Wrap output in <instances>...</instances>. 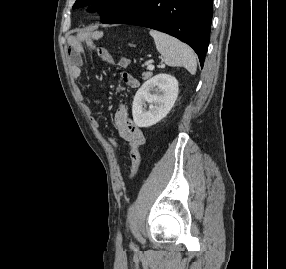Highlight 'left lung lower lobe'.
<instances>
[{"instance_id": "left-lung-lower-lobe-1", "label": "left lung lower lobe", "mask_w": 286, "mask_h": 269, "mask_svg": "<svg viewBox=\"0 0 286 269\" xmlns=\"http://www.w3.org/2000/svg\"><path fill=\"white\" fill-rule=\"evenodd\" d=\"M213 13V0H146L117 24L143 26L165 32L190 45L203 66Z\"/></svg>"}]
</instances>
